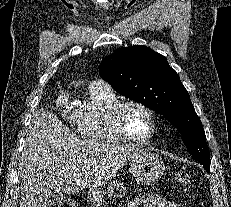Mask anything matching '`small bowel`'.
I'll return each instance as SVG.
<instances>
[{
	"instance_id": "obj_1",
	"label": "small bowel",
	"mask_w": 231,
	"mask_h": 207,
	"mask_svg": "<svg viewBox=\"0 0 231 207\" xmlns=\"http://www.w3.org/2000/svg\"><path fill=\"white\" fill-rule=\"evenodd\" d=\"M127 207H179V205L176 201L150 194L133 199L127 204Z\"/></svg>"
}]
</instances>
